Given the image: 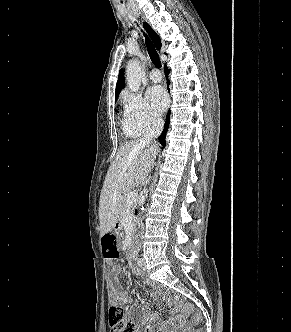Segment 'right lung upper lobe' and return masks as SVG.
I'll list each match as a JSON object with an SVG mask.
<instances>
[{"label":"right lung upper lobe","mask_w":291,"mask_h":332,"mask_svg":"<svg viewBox=\"0 0 291 332\" xmlns=\"http://www.w3.org/2000/svg\"><path fill=\"white\" fill-rule=\"evenodd\" d=\"M143 26L149 33L156 48L159 50L162 46L159 36L154 32V30L146 22L143 24ZM124 86H125L124 74H123V70L121 69L119 72L118 81L116 84V96H115L116 99L118 98V96Z\"/></svg>","instance_id":"obj_1"}]
</instances>
